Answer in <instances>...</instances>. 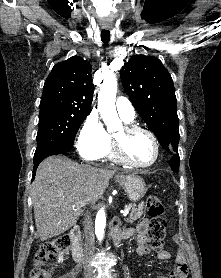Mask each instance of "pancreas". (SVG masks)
I'll use <instances>...</instances> for the list:
<instances>
[{"label":"pancreas","mask_w":221,"mask_h":278,"mask_svg":"<svg viewBox=\"0 0 221 278\" xmlns=\"http://www.w3.org/2000/svg\"><path fill=\"white\" fill-rule=\"evenodd\" d=\"M144 212V205L140 204L137 208H132L129 217L127 218L126 222L133 223V221L137 220L143 215Z\"/></svg>","instance_id":"obj_1"}]
</instances>
